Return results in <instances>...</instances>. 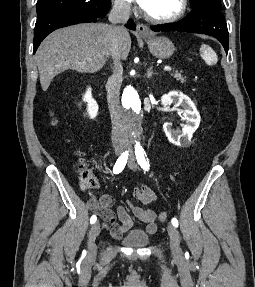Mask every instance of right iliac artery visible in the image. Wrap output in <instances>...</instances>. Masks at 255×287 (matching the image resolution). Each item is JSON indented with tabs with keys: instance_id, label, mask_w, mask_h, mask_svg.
Here are the masks:
<instances>
[{
	"instance_id": "1",
	"label": "right iliac artery",
	"mask_w": 255,
	"mask_h": 287,
	"mask_svg": "<svg viewBox=\"0 0 255 287\" xmlns=\"http://www.w3.org/2000/svg\"><path fill=\"white\" fill-rule=\"evenodd\" d=\"M128 159V151H125L122 153V155L117 159L114 167H113V173L119 174L125 167ZM97 217L93 215L90 219V223L93 224L96 222Z\"/></svg>"
}]
</instances>
